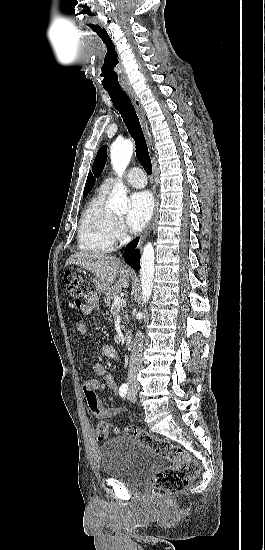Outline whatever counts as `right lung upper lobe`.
Returning a JSON list of instances; mask_svg holds the SVG:
<instances>
[{"instance_id": "right-lung-upper-lobe-1", "label": "right lung upper lobe", "mask_w": 265, "mask_h": 550, "mask_svg": "<svg viewBox=\"0 0 265 550\" xmlns=\"http://www.w3.org/2000/svg\"><path fill=\"white\" fill-rule=\"evenodd\" d=\"M94 184H95V179L93 178L92 173L90 172L84 188L83 197H86L88 195V193L91 191Z\"/></svg>"}]
</instances>
